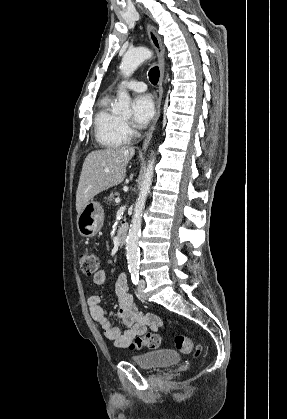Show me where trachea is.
<instances>
[{
    "mask_svg": "<svg viewBox=\"0 0 287 419\" xmlns=\"http://www.w3.org/2000/svg\"><path fill=\"white\" fill-rule=\"evenodd\" d=\"M149 80L152 84H154V85L157 84V82L159 80V68L157 66L150 69Z\"/></svg>",
    "mask_w": 287,
    "mask_h": 419,
    "instance_id": "obj_1",
    "label": "trachea"
}]
</instances>
